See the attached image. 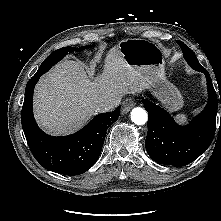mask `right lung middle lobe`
I'll return each mask as SVG.
<instances>
[{
  "instance_id": "right-lung-middle-lobe-1",
  "label": "right lung middle lobe",
  "mask_w": 221,
  "mask_h": 221,
  "mask_svg": "<svg viewBox=\"0 0 221 221\" xmlns=\"http://www.w3.org/2000/svg\"><path fill=\"white\" fill-rule=\"evenodd\" d=\"M91 46V45H90ZM88 46V47H90ZM86 49L85 46H82L80 48H74V47H63L60 48L56 51H54L53 53H51L44 61L43 63L40 65L39 69L37 72H41V71H48L53 65H55L58 61H60L67 53L69 52H79L81 50Z\"/></svg>"
}]
</instances>
